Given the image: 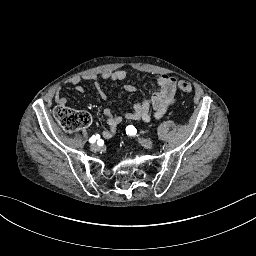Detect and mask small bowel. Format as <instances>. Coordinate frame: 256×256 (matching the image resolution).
<instances>
[{
	"mask_svg": "<svg viewBox=\"0 0 256 256\" xmlns=\"http://www.w3.org/2000/svg\"><path fill=\"white\" fill-rule=\"evenodd\" d=\"M101 78L104 80L123 81L127 78V72L122 69L106 71L101 74ZM82 79L93 82L95 90L100 98H107V94L98 82V76L95 74H87L82 78L74 77L70 79L69 83L75 88L76 91L84 92V87L80 85ZM124 89L127 92L136 91V87L132 84L124 85ZM176 90L177 80L173 76L162 74L158 78L157 91L151 96L150 99L145 98L142 101L135 103L131 111L120 115L109 108L104 109L103 115L106 117L107 128L101 132V136L104 139L113 137L117 126L123 119L142 120L144 122H150L153 119H161L167 112L168 108L176 102ZM54 100L58 106H65L67 104V98L61 95L60 89L56 91Z\"/></svg>",
	"mask_w": 256,
	"mask_h": 256,
	"instance_id": "small-bowel-1",
	"label": "small bowel"
}]
</instances>
